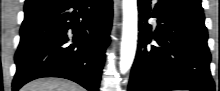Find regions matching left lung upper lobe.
Instances as JSON below:
<instances>
[{"instance_id": "5c2ea615", "label": "left lung upper lobe", "mask_w": 220, "mask_h": 91, "mask_svg": "<svg viewBox=\"0 0 220 91\" xmlns=\"http://www.w3.org/2000/svg\"><path fill=\"white\" fill-rule=\"evenodd\" d=\"M175 1L186 4L188 6L195 8V9L203 11V8L201 6V0H175Z\"/></svg>"}]
</instances>
